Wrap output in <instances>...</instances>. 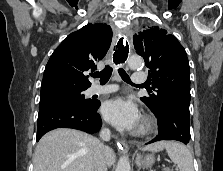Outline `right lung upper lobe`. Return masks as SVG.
Returning <instances> with one entry per match:
<instances>
[{"mask_svg": "<svg viewBox=\"0 0 223 171\" xmlns=\"http://www.w3.org/2000/svg\"><path fill=\"white\" fill-rule=\"evenodd\" d=\"M111 39L110 26L101 23L87 24L68 35L47 63L40 98L89 88L84 72L96 70L95 64L106 55Z\"/></svg>", "mask_w": 223, "mask_h": 171, "instance_id": "1", "label": "right lung upper lobe"}]
</instances>
